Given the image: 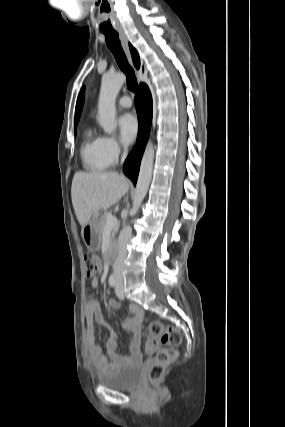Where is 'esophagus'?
Listing matches in <instances>:
<instances>
[{"label": "esophagus", "mask_w": 285, "mask_h": 427, "mask_svg": "<svg viewBox=\"0 0 285 427\" xmlns=\"http://www.w3.org/2000/svg\"><path fill=\"white\" fill-rule=\"evenodd\" d=\"M117 32L119 34L120 37V41L122 43V47L124 49V52L126 54V57L128 59L129 64L134 68V65L132 63V59H131V55H130V51H129V47H128V39L127 36L123 30V28H118ZM135 69V68H134ZM136 71V70H135ZM137 72V71H136Z\"/></svg>", "instance_id": "esophagus-1"}]
</instances>
